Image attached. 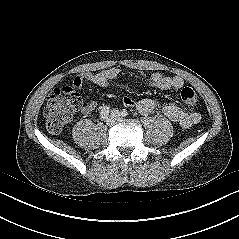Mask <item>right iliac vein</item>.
I'll use <instances>...</instances> for the list:
<instances>
[{"label": "right iliac vein", "mask_w": 239, "mask_h": 239, "mask_svg": "<svg viewBox=\"0 0 239 239\" xmlns=\"http://www.w3.org/2000/svg\"><path fill=\"white\" fill-rule=\"evenodd\" d=\"M114 121H115V119L112 116H109V117L106 118V124L109 125V126L113 125Z\"/></svg>", "instance_id": "obj_1"}]
</instances>
